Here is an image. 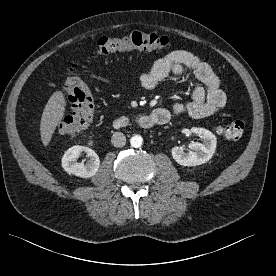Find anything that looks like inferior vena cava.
Returning <instances> with one entry per match:
<instances>
[{
    "label": "inferior vena cava",
    "instance_id": "inferior-vena-cava-1",
    "mask_svg": "<svg viewBox=\"0 0 276 276\" xmlns=\"http://www.w3.org/2000/svg\"><path fill=\"white\" fill-rule=\"evenodd\" d=\"M111 143L115 147H123L126 144V137L122 132H115L111 137Z\"/></svg>",
    "mask_w": 276,
    "mask_h": 276
}]
</instances>
